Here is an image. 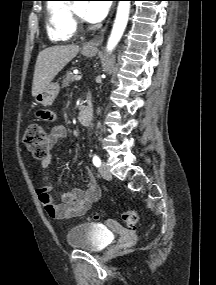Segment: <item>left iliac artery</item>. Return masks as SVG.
Wrapping results in <instances>:
<instances>
[{"instance_id": "left-iliac-artery-1", "label": "left iliac artery", "mask_w": 216, "mask_h": 285, "mask_svg": "<svg viewBox=\"0 0 216 285\" xmlns=\"http://www.w3.org/2000/svg\"><path fill=\"white\" fill-rule=\"evenodd\" d=\"M93 164L96 167H99L101 165V160H100V158L97 155H94V157H93Z\"/></svg>"}]
</instances>
